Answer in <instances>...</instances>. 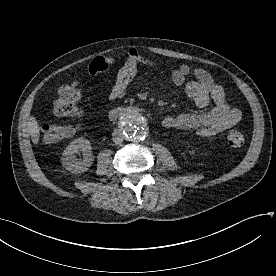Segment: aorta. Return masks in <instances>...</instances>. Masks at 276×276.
I'll list each match as a JSON object with an SVG mask.
<instances>
[{
	"mask_svg": "<svg viewBox=\"0 0 276 276\" xmlns=\"http://www.w3.org/2000/svg\"><path fill=\"white\" fill-rule=\"evenodd\" d=\"M125 136L132 141H142L146 137L143 116L138 112H131L122 120Z\"/></svg>",
	"mask_w": 276,
	"mask_h": 276,
	"instance_id": "aorta-1",
	"label": "aorta"
}]
</instances>
